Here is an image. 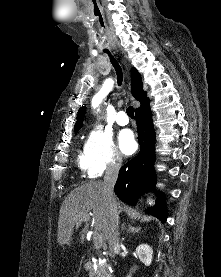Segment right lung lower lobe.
I'll use <instances>...</instances> for the list:
<instances>
[{
  "label": "right lung lower lobe",
  "instance_id": "98d812e1",
  "mask_svg": "<svg viewBox=\"0 0 221 277\" xmlns=\"http://www.w3.org/2000/svg\"><path fill=\"white\" fill-rule=\"evenodd\" d=\"M149 103L150 100L148 99L135 110L140 152L120 169L114 186L119 199L132 205L136 204L141 195L151 190L156 181L154 172L155 133ZM157 196L160 197L157 205L148 208L146 212L165 222L167 211L162 201L165 196L161 193H157Z\"/></svg>",
  "mask_w": 221,
  "mask_h": 277
}]
</instances>
